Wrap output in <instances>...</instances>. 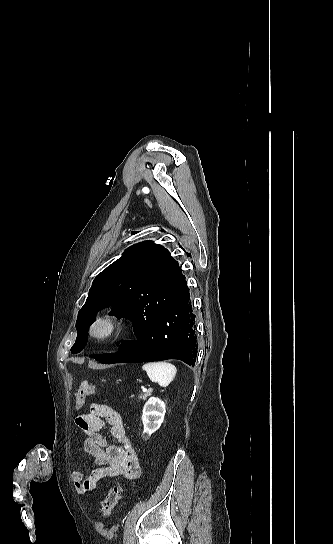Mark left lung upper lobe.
I'll use <instances>...</instances> for the list:
<instances>
[{"label":"left lung upper lobe","instance_id":"1","mask_svg":"<svg viewBox=\"0 0 333 544\" xmlns=\"http://www.w3.org/2000/svg\"><path fill=\"white\" fill-rule=\"evenodd\" d=\"M186 288L185 276L167 249L153 242L128 248L95 278L78 313L72 353L83 349L86 331L99 309L111 306L110 314L126 315L135 326L154 319Z\"/></svg>","mask_w":333,"mask_h":544}]
</instances>
